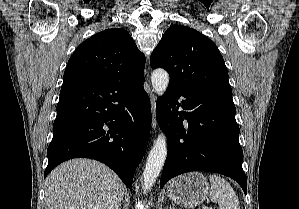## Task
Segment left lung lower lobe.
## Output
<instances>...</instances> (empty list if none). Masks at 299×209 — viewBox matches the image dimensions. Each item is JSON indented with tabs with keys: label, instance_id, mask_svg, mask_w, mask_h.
Segmentation results:
<instances>
[{
	"label": "left lung lower lobe",
	"instance_id": "left-lung-lower-lobe-1",
	"mask_svg": "<svg viewBox=\"0 0 299 209\" xmlns=\"http://www.w3.org/2000/svg\"><path fill=\"white\" fill-rule=\"evenodd\" d=\"M156 110L159 126L168 136L161 188L174 176L201 170L226 175L247 193L232 90L169 84Z\"/></svg>",
	"mask_w": 299,
	"mask_h": 209
}]
</instances>
